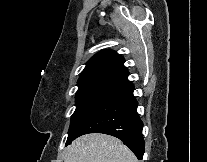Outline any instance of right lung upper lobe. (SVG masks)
I'll return each mask as SVG.
<instances>
[{
    "label": "right lung upper lobe",
    "instance_id": "cb5924a9",
    "mask_svg": "<svg viewBox=\"0 0 207 162\" xmlns=\"http://www.w3.org/2000/svg\"><path fill=\"white\" fill-rule=\"evenodd\" d=\"M124 59L112 50H103L94 55L86 64L78 79V87L118 88L128 81Z\"/></svg>",
    "mask_w": 207,
    "mask_h": 162
}]
</instances>
